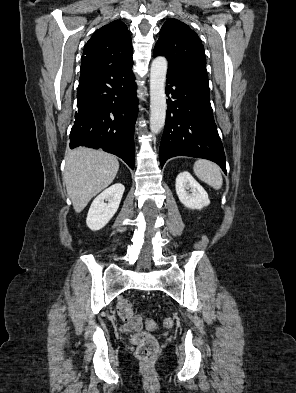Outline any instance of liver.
Masks as SVG:
<instances>
[{
  "label": "liver",
  "instance_id": "6515ba94",
  "mask_svg": "<svg viewBox=\"0 0 296 393\" xmlns=\"http://www.w3.org/2000/svg\"><path fill=\"white\" fill-rule=\"evenodd\" d=\"M65 160L63 182L75 212L79 213L113 182L119 162L104 151L84 147L69 151Z\"/></svg>",
  "mask_w": 296,
  "mask_h": 393
}]
</instances>
